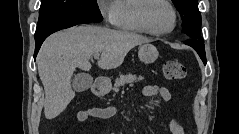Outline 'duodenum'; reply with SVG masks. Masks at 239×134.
<instances>
[{"mask_svg":"<svg viewBox=\"0 0 239 134\" xmlns=\"http://www.w3.org/2000/svg\"><path fill=\"white\" fill-rule=\"evenodd\" d=\"M106 82L103 77L98 76L95 78L93 85V93L95 95H101L105 90Z\"/></svg>","mask_w":239,"mask_h":134,"instance_id":"1","label":"duodenum"}]
</instances>
